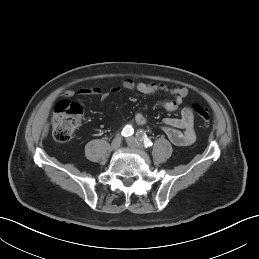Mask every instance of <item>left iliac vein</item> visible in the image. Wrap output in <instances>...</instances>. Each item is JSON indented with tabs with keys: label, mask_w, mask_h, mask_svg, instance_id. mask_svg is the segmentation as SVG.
I'll list each match as a JSON object with an SVG mask.
<instances>
[{
	"label": "left iliac vein",
	"mask_w": 259,
	"mask_h": 259,
	"mask_svg": "<svg viewBox=\"0 0 259 259\" xmlns=\"http://www.w3.org/2000/svg\"><path fill=\"white\" fill-rule=\"evenodd\" d=\"M127 144L134 149H142V145L137 142L134 137H128L126 139Z\"/></svg>",
	"instance_id": "4c4485c4"
}]
</instances>
